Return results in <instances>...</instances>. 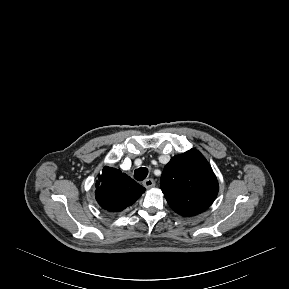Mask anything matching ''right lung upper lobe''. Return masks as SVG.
Here are the masks:
<instances>
[{
	"label": "right lung upper lobe",
	"mask_w": 289,
	"mask_h": 289,
	"mask_svg": "<svg viewBox=\"0 0 289 289\" xmlns=\"http://www.w3.org/2000/svg\"><path fill=\"white\" fill-rule=\"evenodd\" d=\"M145 188L112 167H104L96 182V200L107 211L120 212L132 205Z\"/></svg>",
	"instance_id": "cb5924a9"
}]
</instances>
